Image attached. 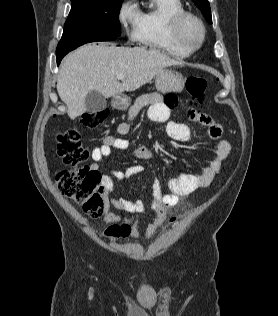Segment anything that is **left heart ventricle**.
Instances as JSON below:
<instances>
[{
	"instance_id": "1",
	"label": "left heart ventricle",
	"mask_w": 278,
	"mask_h": 316,
	"mask_svg": "<svg viewBox=\"0 0 278 316\" xmlns=\"http://www.w3.org/2000/svg\"><path fill=\"white\" fill-rule=\"evenodd\" d=\"M190 34L193 38H196L198 35L197 29L194 26L190 27Z\"/></svg>"
}]
</instances>
